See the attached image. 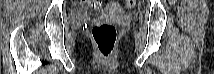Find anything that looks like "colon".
Segmentation results:
<instances>
[{
	"instance_id": "obj_1",
	"label": "colon",
	"mask_w": 214,
	"mask_h": 74,
	"mask_svg": "<svg viewBox=\"0 0 214 74\" xmlns=\"http://www.w3.org/2000/svg\"><path fill=\"white\" fill-rule=\"evenodd\" d=\"M88 3L92 9H100L102 7L101 1L92 0ZM123 3L126 8L131 9L135 6L136 1L125 0ZM92 36L99 54L103 57L111 56L118 38L116 27L110 23L98 22L92 28Z\"/></svg>"
}]
</instances>
